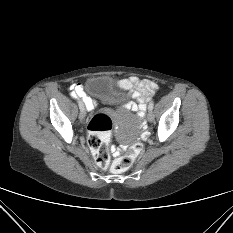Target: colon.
<instances>
[{"instance_id":"5ec220e1","label":"colon","mask_w":233,"mask_h":233,"mask_svg":"<svg viewBox=\"0 0 233 233\" xmlns=\"http://www.w3.org/2000/svg\"><path fill=\"white\" fill-rule=\"evenodd\" d=\"M113 127L112 119L105 113L95 114L88 123V145L96 164L109 168L114 173H121L131 167L142 151L141 143H134L122 157L110 162L108 143Z\"/></svg>"}]
</instances>
